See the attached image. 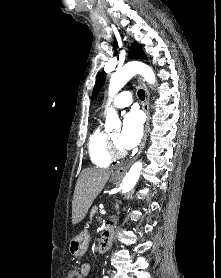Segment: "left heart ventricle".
<instances>
[{"label": "left heart ventricle", "instance_id": "obj_1", "mask_svg": "<svg viewBox=\"0 0 221 278\" xmlns=\"http://www.w3.org/2000/svg\"><path fill=\"white\" fill-rule=\"evenodd\" d=\"M118 132L112 133L110 134V137L115 141V143L117 144L118 147H120V145L118 144ZM121 148V147H120Z\"/></svg>", "mask_w": 221, "mask_h": 278}]
</instances>
